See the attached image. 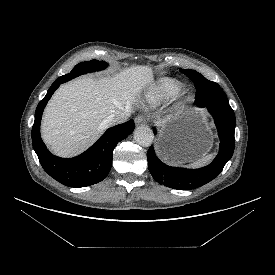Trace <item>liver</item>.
<instances>
[{"label": "liver", "mask_w": 275, "mask_h": 275, "mask_svg": "<svg viewBox=\"0 0 275 275\" xmlns=\"http://www.w3.org/2000/svg\"><path fill=\"white\" fill-rule=\"evenodd\" d=\"M150 75L149 67L136 66L113 78L81 77L61 85L43 115L44 142L62 157L85 151L109 127L104 122L109 115L131 109Z\"/></svg>", "instance_id": "obj_1"}]
</instances>
